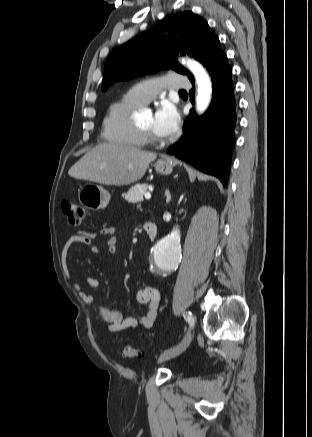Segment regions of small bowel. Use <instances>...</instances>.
I'll return each mask as SVG.
<instances>
[{
    "instance_id": "c3829d8e",
    "label": "small bowel",
    "mask_w": 312,
    "mask_h": 437,
    "mask_svg": "<svg viewBox=\"0 0 312 437\" xmlns=\"http://www.w3.org/2000/svg\"><path fill=\"white\" fill-rule=\"evenodd\" d=\"M99 236L108 237L107 251L114 253L117 249V236L116 228L113 226H107L102 228L98 232H91L86 230L77 231L66 244V248H69L74 243H85L86 245L95 248L93 241ZM73 288L80 295L84 303L92 306L98 315V319L106 326L111 332H121L135 328L140 324L144 328H150L153 326L160 302V295L154 286L145 285L140 287L136 291V299L139 303L146 306V310L143 315L136 319L134 317H123L122 313L118 310L109 309L96 302V298L93 294L87 293L77 283L72 282ZM86 286L92 290L97 291L99 288V280L95 277H88L86 279Z\"/></svg>"
}]
</instances>
